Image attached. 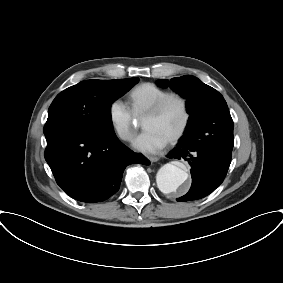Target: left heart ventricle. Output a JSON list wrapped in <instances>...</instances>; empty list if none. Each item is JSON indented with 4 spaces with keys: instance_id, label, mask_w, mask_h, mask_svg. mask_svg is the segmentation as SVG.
Here are the masks:
<instances>
[{
    "instance_id": "obj_1",
    "label": "left heart ventricle",
    "mask_w": 283,
    "mask_h": 283,
    "mask_svg": "<svg viewBox=\"0 0 283 283\" xmlns=\"http://www.w3.org/2000/svg\"><path fill=\"white\" fill-rule=\"evenodd\" d=\"M183 121V110L179 101H170L163 111L150 118L143 120L145 130H154L167 140L171 138L180 128Z\"/></svg>"
}]
</instances>
